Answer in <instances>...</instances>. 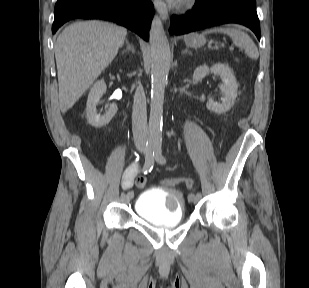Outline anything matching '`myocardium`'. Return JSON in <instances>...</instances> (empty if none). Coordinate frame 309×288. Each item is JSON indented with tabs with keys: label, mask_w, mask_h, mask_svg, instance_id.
I'll return each mask as SVG.
<instances>
[{
	"label": "myocardium",
	"mask_w": 309,
	"mask_h": 288,
	"mask_svg": "<svg viewBox=\"0 0 309 288\" xmlns=\"http://www.w3.org/2000/svg\"><path fill=\"white\" fill-rule=\"evenodd\" d=\"M195 4V0H182V7L191 8Z\"/></svg>",
	"instance_id": "myocardium-1"
}]
</instances>
